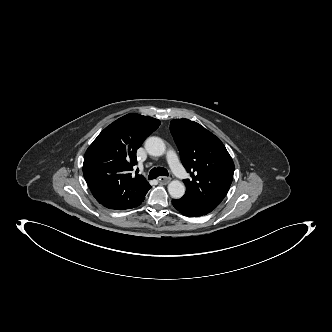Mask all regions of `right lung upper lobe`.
<instances>
[{
	"mask_svg": "<svg viewBox=\"0 0 332 332\" xmlns=\"http://www.w3.org/2000/svg\"><path fill=\"white\" fill-rule=\"evenodd\" d=\"M160 125L158 119L128 114L106 127L84 155L83 175L95 199L104 207L125 210L151 188L145 178H132L136 151Z\"/></svg>",
	"mask_w": 332,
	"mask_h": 332,
	"instance_id": "1",
	"label": "right lung upper lobe"
}]
</instances>
